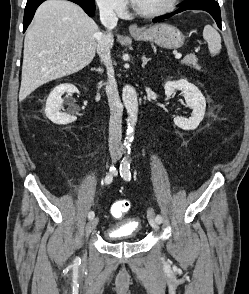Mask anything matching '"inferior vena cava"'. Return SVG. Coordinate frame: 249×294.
Returning <instances> with one entry per match:
<instances>
[{"label":"inferior vena cava","mask_w":249,"mask_h":294,"mask_svg":"<svg viewBox=\"0 0 249 294\" xmlns=\"http://www.w3.org/2000/svg\"><path fill=\"white\" fill-rule=\"evenodd\" d=\"M99 11L101 23L106 28V32L101 34L98 40L97 53L106 66L108 75V84L106 85L105 90L110 107L109 147L117 148L121 145L122 139L123 106L119 98L117 83L114 77L110 49L113 45L111 30L116 27L118 18L113 11V8L107 4H101L99 6Z\"/></svg>","instance_id":"inferior-vena-cava-1"}]
</instances>
